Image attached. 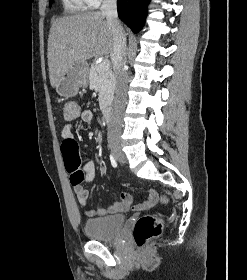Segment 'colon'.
<instances>
[{
	"label": "colon",
	"instance_id": "5ec220e1",
	"mask_svg": "<svg viewBox=\"0 0 247 280\" xmlns=\"http://www.w3.org/2000/svg\"><path fill=\"white\" fill-rule=\"evenodd\" d=\"M64 115L68 120L77 118L80 114L79 106L74 101H68L64 104ZM62 154L67 172L70 175L72 189L74 191H83L87 189L84 183V172L81 168V159L78 153V144L74 140L63 141ZM163 203H167L165 196L161 197ZM163 231V220L154 214L141 216L133 228V238L137 246H143L148 241L161 235Z\"/></svg>",
	"mask_w": 247,
	"mask_h": 280
}]
</instances>
